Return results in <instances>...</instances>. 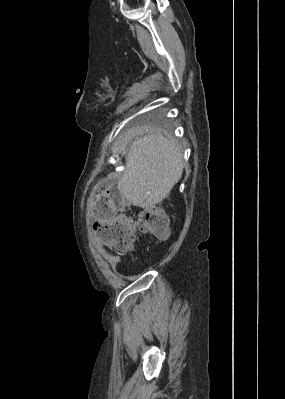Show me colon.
Wrapping results in <instances>:
<instances>
[{"mask_svg": "<svg viewBox=\"0 0 285 399\" xmlns=\"http://www.w3.org/2000/svg\"><path fill=\"white\" fill-rule=\"evenodd\" d=\"M120 200L118 191L105 185L89 202L96 236L108 250L118 254L131 252L137 242L138 231L161 238L169 235L168 216L163 208H141L132 217L117 213Z\"/></svg>", "mask_w": 285, "mask_h": 399, "instance_id": "1", "label": "colon"}]
</instances>
